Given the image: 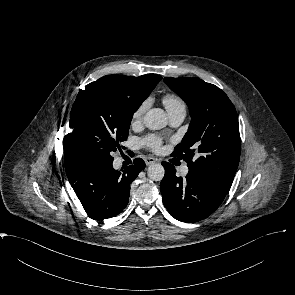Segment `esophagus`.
<instances>
[{
    "label": "esophagus",
    "mask_w": 295,
    "mask_h": 295,
    "mask_svg": "<svg viewBox=\"0 0 295 295\" xmlns=\"http://www.w3.org/2000/svg\"><path fill=\"white\" fill-rule=\"evenodd\" d=\"M156 162H158V159H156V158H153V157H146L145 158L146 165H151V164H154Z\"/></svg>",
    "instance_id": "1"
}]
</instances>
